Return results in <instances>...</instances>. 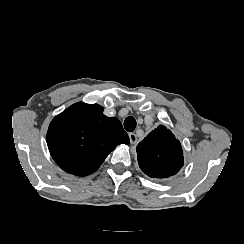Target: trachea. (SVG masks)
<instances>
[{
    "mask_svg": "<svg viewBox=\"0 0 244 244\" xmlns=\"http://www.w3.org/2000/svg\"><path fill=\"white\" fill-rule=\"evenodd\" d=\"M135 127H136V120L132 116L127 117L124 121L125 130L128 132H132L134 131Z\"/></svg>",
    "mask_w": 244,
    "mask_h": 244,
    "instance_id": "trachea-1",
    "label": "trachea"
}]
</instances>
